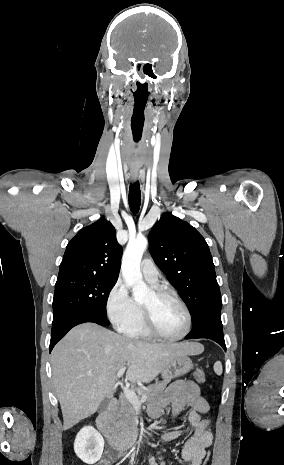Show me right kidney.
<instances>
[{
	"mask_svg": "<svg viewBox=\"0 0 284 465\" xmlns=\"http://www.w3.org/2000/svg\"><path fill=\"white\" fill-rule=\"evenodd\" d=\"M104 449V439L94 427H83L79 431L75 443L74 451L84 463L94 465L99 459Z\"/></svg>",
	"mask_w": 284,
	"mask_h": 465,
	"instance_id": "right-kidney-1",
	"label": "right kidney"
}]
</instances>
